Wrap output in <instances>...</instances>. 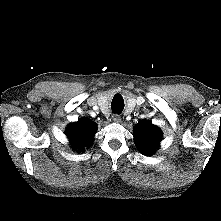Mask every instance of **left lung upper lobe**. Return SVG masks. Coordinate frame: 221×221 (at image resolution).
Segmentation results:
<instances>
[{"instance_id": "5c2ea615", "label": "left lung upper lobe", "mask_w": 221, "mask_h": 221, "mask_svg": "<svg viewBox=\"0 0 221 221\" xmlns=\"http://www.w3.org/2000/svg\"><path fill=\"white\" fill-rule=\"evenodd\" d=\"M134 142L138 150L151 155L161 142V130L150 121H140L133 129Z\"/></svg>"}]
</instances>
